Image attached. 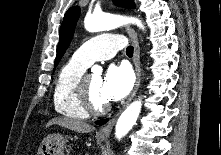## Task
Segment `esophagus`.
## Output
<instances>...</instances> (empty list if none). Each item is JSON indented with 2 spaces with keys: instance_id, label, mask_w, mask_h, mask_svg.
Here are the masks:
<instances>
[{
  "instance_id": "34e87169",
  "label": "esophagus",
  "mask_w": 221,
  "mask_h": 155,
  "mask_svg": "<svg viewBox=\"0 0 221 155\" xmlns=\"http://www.w3.org/2000/svg\"><path fill=\"white\" fill-rule=\"evenodd\" d=\"M126 31L130 37V40H131L133 46H134L133 62H134L135 73H136V81H135L134 88H133L128 100L126 101L124 107L127 106L131 102V100L134 98V96L136 95V92H137L139 84H140V79H141L140 47H139L138 37H137L135 30L132 27L126 26ZM120 112H121V110L112 119H110L106 125H104L98 131L97 135L99 137H102V138L109 137V135L112 131V128L115 124L116 118Z\"/></svg>"
}]
</instances>
